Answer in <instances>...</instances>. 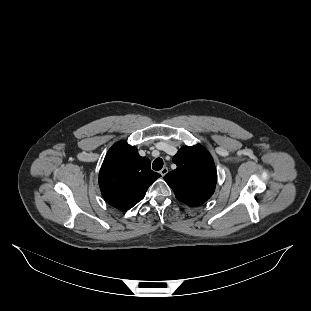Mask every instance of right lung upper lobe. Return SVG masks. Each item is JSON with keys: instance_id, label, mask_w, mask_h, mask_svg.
Here are the masks:
<instances>
[{"instance_id": "right-lung-upper-lobe-1", "label": "right lung upper lobe", "mask_w": 311, "mask_h": 311, "mask_svg": "<svg viewBox=\"0 0 311 311\" xmlns=\"http://www.w3.org/2000/svg\"><path fill=\"white\" fill-rule=\"evenodd\" d=\"M161 175L152 171L150 160L124 141L106 154L99 173L102 196L113 207L125 211L141 201L149 186Z\"/></svg>"}]
</instances>
